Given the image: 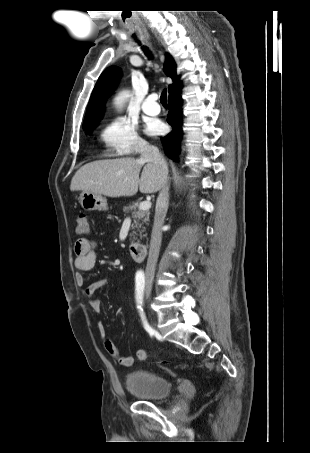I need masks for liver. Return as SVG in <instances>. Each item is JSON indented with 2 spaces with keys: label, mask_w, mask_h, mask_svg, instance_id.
<instances>
[{
  "label": "liver",
  "mask_w": 310,
  "mask_h": 453,
  "mask_svg": "<svg viewBox=\"0 0 310 453\" xmlns=\"http://www.w3.org/2000/svg\"><path fill=\"white\" fill-rule=\"evenodd\" d=\"M163 180L162 168L152 162L132 157L106 159L83 165L73 176L70 190L113 198L130 197L138 190L144 194L156 193L162 188Z\"/></svg>",
  "instance_id": "1"
}]
</instances>
